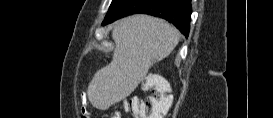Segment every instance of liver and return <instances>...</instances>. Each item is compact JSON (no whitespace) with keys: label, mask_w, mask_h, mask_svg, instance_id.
<instances>
[{"label":"liver","mask_w":273,"mask_h":118,"mask_svg":"<svg viewBox=\"0 0 273 118\" xmlns=\"http://www.w3.org/2000/svg\"><path fill=\"white\" fill-rule=\"evenodd\" d=\"M112 38V61L95 73L87 90L91 104L101 110L129 96L150 67L170 55L180 35L162 19L137 14L118 21Z\"/></svg>","instance_id":"1"}]
</instances>
